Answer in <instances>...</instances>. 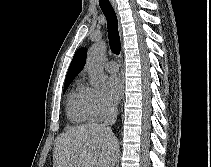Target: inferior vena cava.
Instances as JSON below:
<instances>
[{
  "instance_id": "obj_1",
  "label": "inferior vena cava",
  "mask_w": 211,
  "mask_h": 167,
  "mask_svg": "<svg viewBox=\"0 0 211 167\" xmlns=\"http://www.w3.org/2000/svg\"><path fill=\"white\" fill-rule=\"evenodd\" d=\"M106 120L103 126L112 133L111 127L109 125H112L116 122L117 115H118V110L117 107L115 106H108L107 111H106Z\"/></svg>"
}]
</instances>
